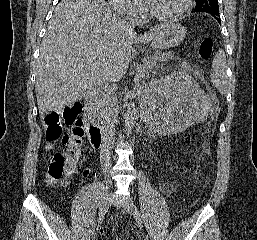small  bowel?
Listing matches in <instances>:
<instances>
[{
    "label": "small bowel",
    "mask_w": 257,
    "mask_h": 240,
    "mask_svg": "<svg viewBox=\"0 0 257 240\" xmlns=\"http://www.w3.org/2000/svg\"><path fill=\"white\" fill-rule=\"evenodd\" d=\"M56 144H57L56 141H47V143L45 145L46 151L53 149L56 146Z\"/></svg>",
    "instance_id": "c3829d8e"
}]
</instances>
